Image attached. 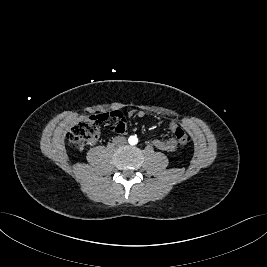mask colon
<instances>
[{
  "label": "colon",
  "instance_id": "obj_1",
  "mask_svg": "<svg viewBox=\"0 0 267 267\" xmlns=\"http://www.w3.org/2000/svg\"><path fill=\"white\" fill-rule=\"evenodd\" d=\"M106 114L92 115L83 118L67 132L68 143L74 148H81L97 139L102 123L107 119ZM178 143L185 147L189 144V136L180 128L173 130Z\"/></svg>",
  "mask_w": 267,
  "mask_h": 267
}]
</instances>
